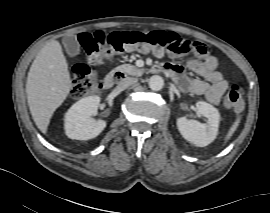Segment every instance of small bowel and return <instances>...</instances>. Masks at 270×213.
I'll list each match as a JSON object with an SVG mask.
<instances>
[{
  "label": "small bowel",
  "instance_id": "1",
  "mask_svg": "<svg viewBox=\"0 0 270 213\" xmlns=\"http://www.w3.org/2000/svg\"><path fill=\"white\" fill-rule=\"evenodd\" d=\"M217 64V58L209 50L201 59H192L188 63V69L202 77L203 80H184L182 78L183 68L178 64L163 63L157 66V68L170 73L175 78L178 86L183 90L203 95L210 103L218 104L221 96L228 89L229 84L222 74L216 70Z\"/></svg>",
  "mask_w": 270,
  "mask_h": 213
}]
</instances>
